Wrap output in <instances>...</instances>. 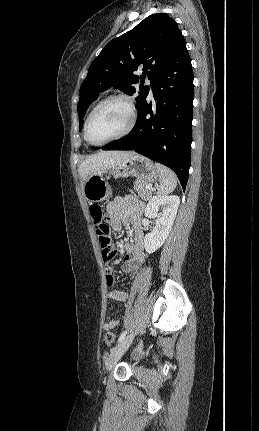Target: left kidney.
Wrapping results in <instances>:
<instances>
[{
    "mask_svg": "<svg viewBox=\"0 0 259 431\" xmlns=\"http://www.w3.org/2000/svg\"><path fill=\"white\" fill-rule=\"evenodd\" d=\"M179 204L180 198L176 195H157L149 200L145 208V216L156 218V223L153 230L144 238V247L147 253L155 252L164 244L171 231ZM159 210H161L160 213H158Z\"/></svg>",
    "mask_w": 259,
    "mask_h": 431,
    "instance_id": "obj_1",
    "label": "left kidney"
}]
</instances>
